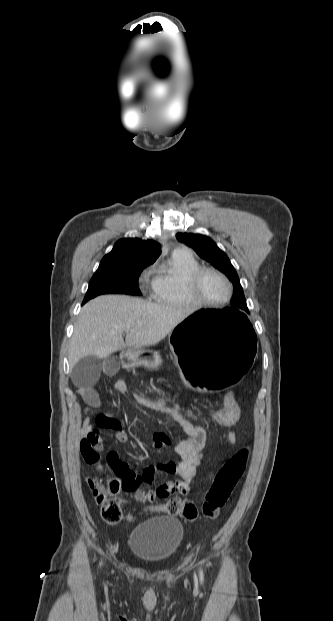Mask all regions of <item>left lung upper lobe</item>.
Returning <instances> with one entry per match:
<instances>
[{"mask_svg": "<svg viewBox=\"0 0 333 621\" xmlns=\"http://www.w3.org/2000/svg\"><path fill=\"white\" fill-rule=\"evenodd\" d=\"M176 238L180 242L193 248L201 258L208 261L230 278L234 287L231 308L248 312L239 277L227 255L217 247L215 242L207 236L192 233H177Z\"/></svg>", "mask_w": 333, "mask_h": 621, "instance_id": "left-lung-upper-lobe-1", "label": "left lung upper lobe"}]
</instances>
